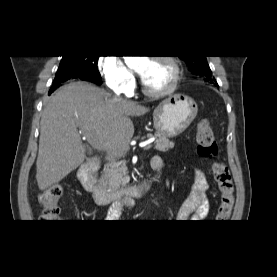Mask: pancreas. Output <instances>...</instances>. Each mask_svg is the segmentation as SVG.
I'll list each match as a JSON object with an SVG mask.
<instances>
[{"mask_svg": "<svg viewBox=\"0 0 277 277\" xmlns=\"http://www.w3.org/2000/svg\"><path fill=\"white\" fill-rule=\"evenodd\" d=\"M147 137L152 138L153 135L147 134ZM155 137L154 149L157 151L166 152L174 147V143L168 138L161 135H155ZM101 180L112 192L126 187L129 183V178L125 161H112L108 163L103 170Z\"/></svg>", "mask_w": 277, "mask_h": 277, "instance_id": "pancreas-1", "label": "pancreas"}]
</instances>
